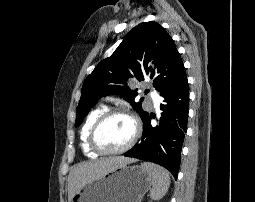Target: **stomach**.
<instances>
[{
  "mask_svg": "<svg viewBox=\"0 0 255 202\" xmlns=\"http://www.w3.org/2000/svg\"><path fill=\"white\" fill-rule=\"evenodd\" d=\"M151 186L144 169L125 165L88 182L69 202H141Z\"/></svg>",
  "mask_w": 255,
  "mask_h": 202,
  "instance_id": "0dacf381",
  "label": "stomach"
}]
</instances>
